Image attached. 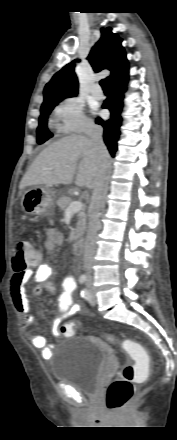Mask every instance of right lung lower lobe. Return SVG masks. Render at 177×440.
<instances>
[{
    "label": "right lung lower lobe",
    "instance_id": "98d812e1",
    "mask_svg": "<svg viewBox=\"0 0 177 440\" xmlns=\"http://www.w3.org/2000/svg\"><path fill=\"white\" fill-rule=\"evenodd\" d=\"M128 82V66L119 74L112 78L108 84L110 86V95L104 101L102 108L110 111V119L102 120L96 119V123L104 128L103 139L107 145L110 154L115 155L117 150V141L120 136V126L122 123L121 111L123 107V93L126 90Z\"/></svg>",
    "mask_w": 177,
    "mask_h": 440
}]
</instances>
